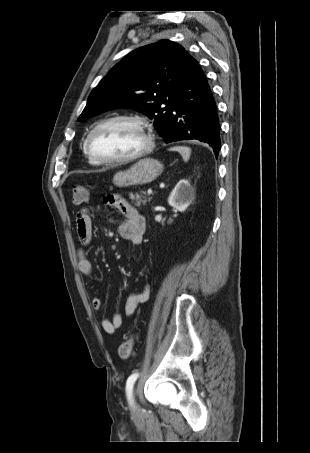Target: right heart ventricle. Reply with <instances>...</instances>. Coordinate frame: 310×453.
Segmentation results:
<instances>
[{"label": "right heart ventricle", "instance_id": "1", "mask_svg": "<svg viewBox=\"0 0 310 453\" xmlns=\"http://www.w3.org/2000/svg\"><path fill=\"white\" fill-rule=\"evenodd\" d=\"M83 152H84V154L86 155V157H87L88 162H89L90 165H92V166H99V165H100V163L94 161V160H93L92 158H90V156L87 154L86 149H85V143L83 144Z\"/></svg>", "mask_w": 310, "mask_h": 453}]
</instances>
